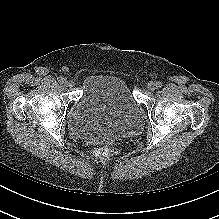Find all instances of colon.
<instances>
[{"label":"colon","instance_id":"colon-1","mask_svg":"<svg viewBox=\"0 0 219 219\" xmlns=\"http://www.w3.org/2000/svg\"><path fill=\"white\" fill-rule=\"evenodd\" d=\"M93 154L100 158H110L114 155V150L106 146L96 147L93 150Z\"/></svg>","mask_w":219,"mask_h":219}]
</instances>
